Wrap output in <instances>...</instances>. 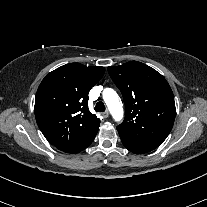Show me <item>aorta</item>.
Listing matches in <instances>:
<instances>
[{
    "label": "aorta",
    "instance_id": "obj_1",
    "mask_svg": "<svg viewBox=\"0 0 207 207\" xmlns=\"http://www.w3.org/2000/svg\"><path fill=\"white\" fill-rule=\"evenodd\" d=\"M103 99L115 121L123 119V108L120 97L112 88L103 91Z\"/></svg>",
    "mask_w": 207,
    "mask_h": 207
}]
</instances>
